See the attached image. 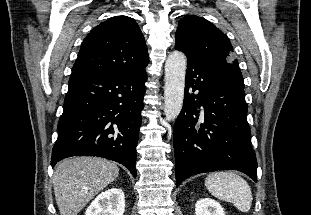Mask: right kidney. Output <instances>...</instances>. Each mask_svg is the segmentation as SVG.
<instances>
[{"label":"right kidney","mask_w":311,"mask_h":215,"mask_svg":"<svg viewBox=\"0 0 311 215\" xmlns=\"http://www.w3.org/2000/svg\"><path fill=\"white\" fill-rule=\"evenodd\" d=\"M124 193L119 188H110L99 194L87 208L85 215H123Z\"/></svg>","instance_id":"ca27d5eb"}]
</instances>
